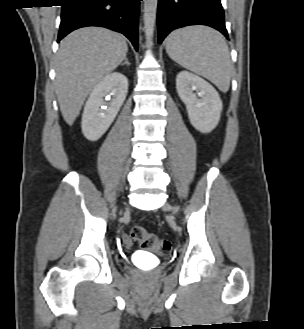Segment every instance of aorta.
I'll list each match as a JSON object with an SVG mask.
<instances>
[{
	"mask_svg": "<svg viewBox=\"0 0 304 329\" xmlns=\"http://www.w3.org/2000/svg\"><path fill=\"white\" fill-rule=\"evenodd\" d=\"M157 5L158 0H144V31L146 46L149 48L153 45L152 38L154 33Z\"/></svg>",
	"mask_w": 304,
	"mask_h": 329,
	"instance_id": "762f6f07",
	"label": "aorta"
}]
</instances>
